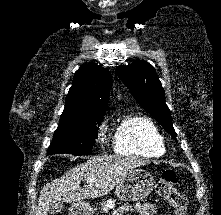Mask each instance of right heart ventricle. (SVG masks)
<instances>
[{
	"label": "right heart ventricle",
	"mask_w": 221,
	"mask_h": 215,
	"mask_svg": "<svg viewBox=\"0 0 221 215\" xmlns=\"http://www.w3.org/2000/svg\"><path fill=\"white\" fill-rule=\"evenodd\" d=\"M114 150L122 155L159 157L165 145L156 123L149 117L132 114L118 124L113 137Z\"/></svg>",
	"instance_id": "1"
}]
</instances>
